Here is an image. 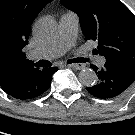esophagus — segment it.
I'll return each mask as SVG.
<instances>
[{"label": "esophagus", "mask_w": 135, "mask_h": 135, "mask_svg": "<svg viewBox=\"0 0 135 135\" xmlns=\"http://www.w3.org/2000/svg\"><path fill=\"white\" fill-rule=\"evenodd\" d=\"M67 66L70 67V68L76 69V70H81V69H83L85 67V65L82 64V63L69 64Z\"/></svg>", "instance_id": "1"}]
</instances>
